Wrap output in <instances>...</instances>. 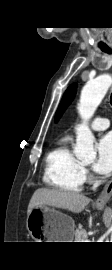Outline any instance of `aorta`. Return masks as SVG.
<instances>
[{
  "label": "aorta",
  "instance_id": "1",
  "mask_svg": "<svg viewBox=\"0 0 112 270\" xmlns=\"http://www.w3.org/2000/svg\"><path fill=\"white\" fill-rule=\"evenodd\" d=\"M111 84L112 78L109 75H100L88 82L81 91L78 112L82 123L76 128L77 136L74 147V154L78 159L95 160L96 158V151L93 147L94 136L89 129L88 121L94 115Z\"/></svg>",
  "mask_w": 112,
  "mask_h": 270
}]
</instances>
